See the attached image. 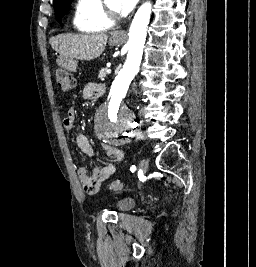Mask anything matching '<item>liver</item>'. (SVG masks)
I'll list each match as a JSON object with an SVG mask.
<instances>
[{"instance_id": "6515ba94", "label": "liver", "mask_w": 256, "mask_h": 267, "mask_svg": "<svg viewBox=\"0 0 256 267\" xmlns=\"http://www.w3.org/2000/svg\"><path fill=\"white\" fill-rule=\"evenodd\" d=\"M120 32H112L118 36ZM109 36L107 34H59L50 38V44L64 60H94L105 50Z\"/></svg>"}]
</instances>
